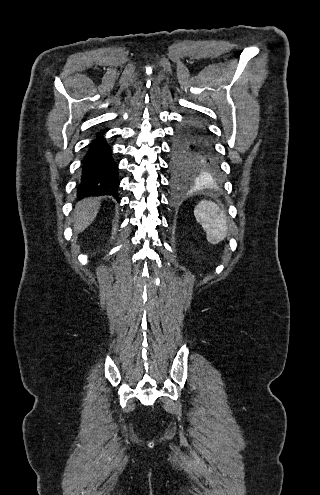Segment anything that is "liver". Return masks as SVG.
<instances>
[{"mask_svg": "<svg viewBox=\"0 0 320 495\" xmlns=\"http://www.w3.org/2000/svg\"><path fill=\"white\" fill-rule=\"evenodd\" d=\"M100 208V198L88 197L76 204L74 211L75 232L84 231L96 218Z\"/></svg>", "mask_w": 320, "mask_h": 495, "instance_id": "6515ba94", "label": "liver"}]
</instances>
